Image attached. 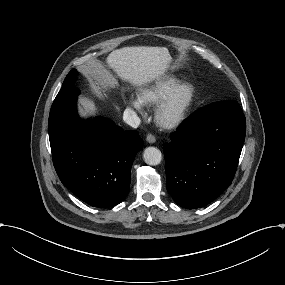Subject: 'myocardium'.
Masks as SVG:
<instances>
[{
  "mask_svg": "<svg viewBox=\"0 0 285 285\" xmlns=\"http://www.w3.org/2000/svg\"><path fill=\"white\" fill-rule=\"evenodd\" d=\"M189 91V96L186 104L181 111L171 119H165L166 114L169 112L174 104L177 96L185 91ZM199 91L196 84L192 81H183L173 87L167 95L157 105L154 118L158 126L165 130H175L181 127L189 119L198 100Z\"/></svg>",
  "mask_w": 285,
  "mask_h": 285,
  "instance_id": "f54148a6",
  "label": "myocardium"
}]
</instances>
